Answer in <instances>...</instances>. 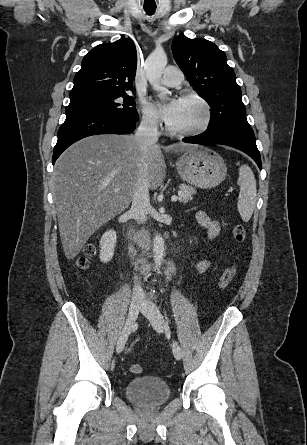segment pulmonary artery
<instances>
[{
    "label": "pulmonary artery",
    "mask_w": 307,
    "mask_h": 445,
    "mask_svg": "<svg viewBox=\"0 0 307 445\" xmlns=\"http://www.w3.org/2000/svg\"><path fill=\"white\" fill-rule=\"evenodd\" d=\"M183 76L182 69H174L170 66L164 70L162 83L165 85H175L181 82Z\"/></svg>",
    "instance_id": "obj_1"
}]
</instances>
